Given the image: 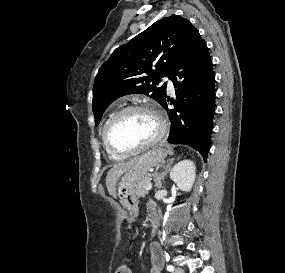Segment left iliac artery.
<instances>
[{
  "mask_svg": "<svg viewBox=\"0 0 285 273\" xmlns=\"http://www.w3.org/2000/svg\"><path fill=\"white\" fill-rule=\"evenodd\" d=\"M167 270L170 271V272L173 271V270H174V266L168 265V266H167Z\"/></svg>",
  "mask_w": 285,
  "mask_h": 273,
  "instance_id": "left-iliac-artery-1",
  "label": "left iliac artery"
}]
</instances>
